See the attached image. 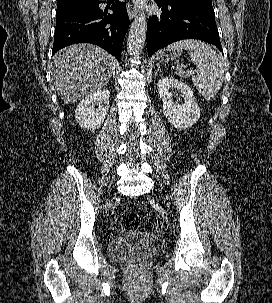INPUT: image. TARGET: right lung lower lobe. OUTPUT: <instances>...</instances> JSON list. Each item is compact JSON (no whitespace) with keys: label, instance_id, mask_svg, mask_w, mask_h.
<instances>
[{"label":"right lung lower lobe","instance_id":"1","mask_svg":"<svg viewBox=\"0 0 272 303\" xmlns=\"http://www.w3.org/2000/svg\"><path fill=\"white\" fill-rule=\"evenodd\" d=\"M101 1L80 9L56 15V28L52 55L63 47L75 43L98 45L120 60L122 44L129 27L124 3L116 1L107 14L99 8Z\"/></svg>","mask_w":272,"mask_h":303}]
</instances>
